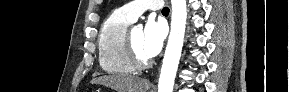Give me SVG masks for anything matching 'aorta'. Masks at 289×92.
<instances>
[{
  "mask_svg": "<svg viewBox=\"0 0 289 92\" xmlns=\"http://www.w3.org/2000/svg\"><path fill=\"white\" fill-rule=\"evenodd\" d=\"M171 5V29L159 77L158 92H173L185 35L186 0H171Z\"/></svg>",
  "mask_w": 289,
  "mask_h": 92,
  "instance_id": "762f6f07",
  "label": "aorta"
}]
</instances>
